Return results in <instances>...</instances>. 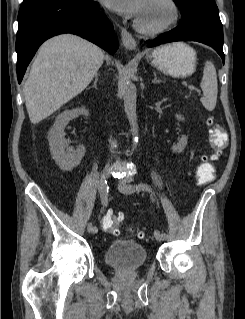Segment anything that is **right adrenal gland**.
<instances>
[{"instance_id": "right-adrenal-gland-1", "label": "right adrenal gland", "mask_w": 245, "mask_h": 319, "mask_svg": "<svg viewBox=\"0 0 245 319\" xmlns=\"http://www.w3.org/2000/svg\"><path fill=\"white\" fill-rule=\"evenodd\" d=\"M99 77H100V74L99 73H96L95 75V80H94V84H93V88L97 89V83H98V80H99Z\"/></svg>"}]
</instances>
